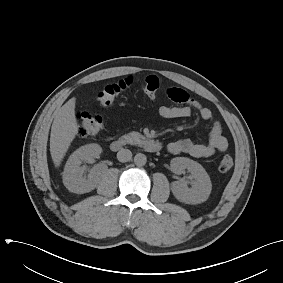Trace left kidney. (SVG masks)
<instances>
[{"label":"left kidney","instance_id":"1","mask_svg":"<svg viewBox=\"0 0 283 283\" xmlns=\"http://www.w3.org/2000/svg\"><path fill=\"white\" fill-rule=\"evenodd\" d=\"M170 166L175 174H182L187 170L193 179L190 188L182 180L171 184V190L176 199L187 204H199L208 199L212 184L209 175L199 163L189 158L176 157L171 160Z\"/></svg>","mask_w":283,"mask_h":283}]
</instances>
